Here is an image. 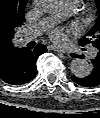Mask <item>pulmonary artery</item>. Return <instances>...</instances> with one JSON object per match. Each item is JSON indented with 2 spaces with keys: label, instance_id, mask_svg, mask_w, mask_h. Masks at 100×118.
Here are the masks:
<instances>
[{
  "label": "pulmonary artery",
  "instance_id": "pulmonary-artery-1",
  "mask_svg": "<svg viewBox=\"0 0 100 118\" xmlns=\"http://www.w3.org/2000/svg\"><path fill=\"white\" fill-rule=\"evenodd\" d=\"M79 0H62L61 1V10L59 13H57L56 15L52 16V17H48L42 21H40L39 23L29 26L25 29L24 32V39L26 41L32 40L34 38H36L37 36H39L44 29H46L49 25H51L54 21L65 18L66 16H68L69 14H71L72 12L75 11V9L77 8L78 4H79ZM96 53L95 49H91L90 50V55L94 56Z\"/></svg>",
  "mask_w": 100,
  "mask_h": 118
}]
</instances>
